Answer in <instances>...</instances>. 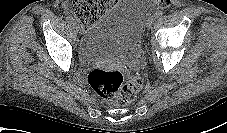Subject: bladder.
<instances>
[{"label": "bladder", "mask_w": 227, "mask_h": 133, "mask_svg": "<svg viewBox=\"0 0 227 133\" xmlns=\"http://www.w3.org/2000/svg\"><path fill=\"white\" fill-rule=\"evenodd\" d=\"M152 7V0H118L84 30L77 50L79 61L83 65L112 62L140 68L143 27Z\"/></svg>", "instance_id": "1"}]
</instances>
